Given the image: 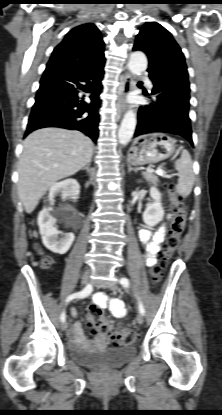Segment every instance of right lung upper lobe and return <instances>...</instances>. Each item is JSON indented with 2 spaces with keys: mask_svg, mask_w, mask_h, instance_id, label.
<instances>
[{
  "mask_svg": "<svg viewBox=\"0 0 222 415\" xmlns=\"http://www.w3.org/2000/svg\"><path fill=\"white\" fill-rule=\"evenodd\" d=\"M105 62L104 42L93 23L73 28L54 49L47 65L88 69Z\"/></svg>",
  "mask_w": 222,
  "mask_h": 415,
  "instance_id": "obj_1",
  "label": "right lung upper lobe"
}]
</instances>
